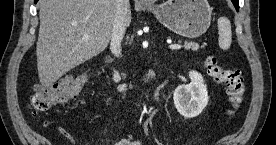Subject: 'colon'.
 I'll use <instances>...</instances> for the list:
<instances>
[{
	"label": "colon",
	"instance_id": "5ec220e1",
	"mask_svg": "<svg viewBox=\"0 0 276 145\" xmlns=\"http://www.w3.org/2000/svg\"><path fill=\"white\" fill-rule=\"evenodd\" d=\"M203 67L217 82L226 86L230 102V114H234L243 102L246 85L243 74L238 69L222 67L217 58L209 56L203 61ZM85 85L81 76H68L50 84L34 86L31 106L35 113L47 111L64 105L78 96Z\"/></svg>",
	"mask_w": 276,
	"mask_h": 145
}]
</instances>
